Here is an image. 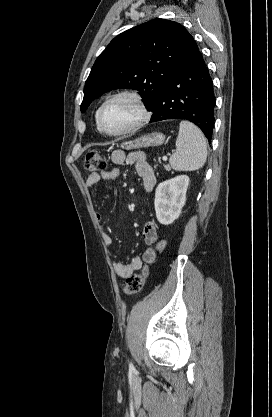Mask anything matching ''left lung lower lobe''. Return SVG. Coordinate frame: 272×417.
Here are the masks:
<instances>
[{
  "mask_svg": "<svg viewBox=\"0 0 272 417\" xmlns=\"http://www.w3.org/2000/svg\"><path fill=\"white\" fill-rule=\"evenodd\" d=\"M215 95L208 68L197 51L170 78L156 99L150 122L184 119L197 125L211 141Z\"/></svg>",
  "mask_w": 272,
  "mask_h": 417,
  "instance_id": "left-lung-lower-lobe-1",
  "label": "left lung lower lobe"
}]
</instances>
